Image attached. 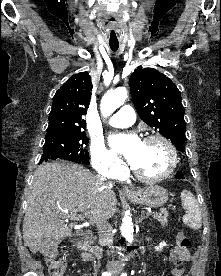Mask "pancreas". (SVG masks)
I'll return each instance as SVG.
<instances>
[{
  "label": "pancreas",
  "instance_id": "cf45deb5",
  "mask_svg": "<svg viewBox=\"0 0 221 276\" xmlns=\"http://www.w3.org/2000/svg\"><path fill=\"white\" fill-rule=\"evenodd\" d=\"M167 217H168V213L166 211L163 213H156L153 215V218L157 219L163 226L167 225L168 223Z\"/></svg>",
  "mask_w": 221,
  "mask_h": 276
}]
</instances>
